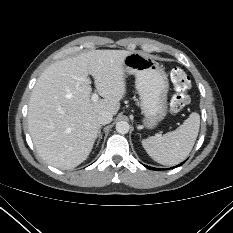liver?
Returning a JSON list of instances; mask_svg holds the SVG:
<instances>
[{
	"instance_id": "6515ba94",
	"label": "liver",
	"mask_w": 233,
	"mask_h": 233,
	"mask_svg": "<svg viewBox=\"0 0 233 233\" xmlns=\"http://www.w3.org/2000/svg\"><path fill=\"white\" fill-rule=\"evenodd\" d=\"M126 50H92L56 61L38 78L28 106V128L40 157L63 170L89 156L102 111L116 115L126 92ZM88 74L103 99L93 102Z\"/></svg>"
}]
</instances>
